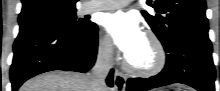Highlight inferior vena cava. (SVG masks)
<instances>
[{"label":"inferior vena cava","mask_w":220,"mask_h":91,"mask_svg":"<svg viewBox=\"0 0 220 91\" xmlns=\"http://www.w3.org/2000/svg\"><path fill=\"white\" fill-rule=\"evenodd\" d=\"M112 53V43H107L99 49L96 62L88 73L91 79V86L94 88L93 91L106 90L105 79L112 67Z\"/></svg>","instance_id":"obj_1"}]
</instances>
